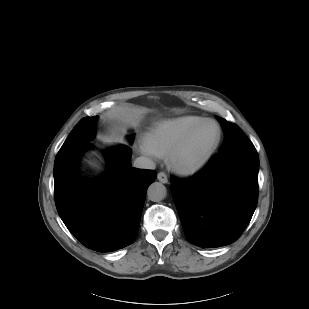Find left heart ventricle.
Here are the masks:
<instances>
[{
  "mask_svg": "<svg viewBox=\"0 0 309 309\" xmlns=\"http://www.w3.org/2000/svg\"><path fill=\"white\" fill-rule=\"evenodd\" d=\"M217 137V128L213 124L204 126L190 141L183 153V158L187 162L198 160Z\"/></svg>",
  "mask_w": 309,
  "mask_h": 309,
  "instance_id": "obj_1",
  "label": "left heart ventricle"
}]
</instances>
